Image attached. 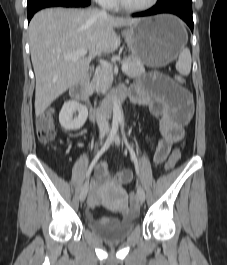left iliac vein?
Returning <instances> with one entry per match:
<instances>
[{"mask_svg":"<svg viewBox=\"0 0 227 265\" xmlns=\"http://www.w3.org/2000/svg\"><path fill=\"white\" fill-rule=\"evenodd\" d=\"M114 142H115L116 145H118L120 143V139H119L118 136L115 137ZM137 196H138L139 202L141 204L144 203V201H145V192H144L143 188L140 185L137 187Z\"/></svg>","mask_w":227,"mask_h":265,"instance_id":"4c4485c4","label":"left iliac vein"}]
</instances>
